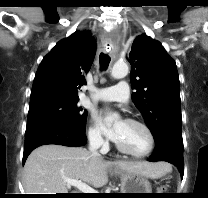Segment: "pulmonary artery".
Returning <instances> with one entry per match:
<instances>
[{
	"mask_svg": "<svg viewBox=\"0 0 208 198\" xmlns=\"http://www.w3.org/2000/svg\"><path fill=\"white\" fill-rule=\"evenodd\" d=\"M130 96L129 86L125 81L119 82L115 86L98 89L94 99L105 102L127 103Z\"/></svg>",
	"mask_w": 208,
	"mask_h": 198,
	"instance_id": "obj_1",
	"label": "pulmonary artery"
}]
</instances>
